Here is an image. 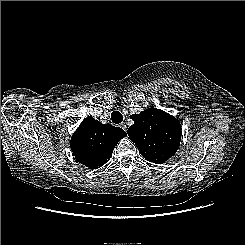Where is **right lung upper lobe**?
Returning <instances> with one entry per match:
<instances>
[{
  "label": "right lung upper lobe",
  "instance_id": "right-lung-upper-lobe-1",
  "mask_svg": "<svg viewBox=\"0 0 245 245\" xmlns=\"http://www.w3.org/2000/svg\"><path fill=\"white\" fill-rule=\"evenodd\" d=\"M125 136L123 129L102 124L89 116L74 132L70 146L78 162L97 169L109 161L114 147Z\"/></svg>",
  "mask_w": 245,
  "mask_h": 245
}]
</instances>
